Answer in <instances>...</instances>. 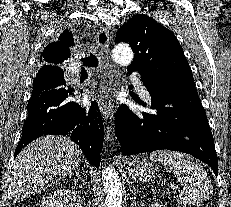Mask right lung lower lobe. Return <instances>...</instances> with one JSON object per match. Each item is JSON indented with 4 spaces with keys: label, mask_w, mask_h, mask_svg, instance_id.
I'll return each mask as SVG.
<instances>
[{
    "label": "right lung lower lobe",
    "mask_w": 231,
    "mask_h": 207,
    "mask_svg": "<svg viewBox=\"0 0 231 207\" xmlns=\"http://www.w3.org/2000/svg\"><path fill=\"white\" fill-rule=\"evenodd\" d=\"M61 35L73 40L72 33ZM74 89L66 86L60 67H42L33 81L22 137L15 150L19 152L34 139L47 134L67 135L79 145L89 162L100 165L103 145V121L99 107L93 102L82 108L73 101Z\"/></svg>",
    "instance_id": "right-lung-lower-lobe-1"
}]
</instances>
